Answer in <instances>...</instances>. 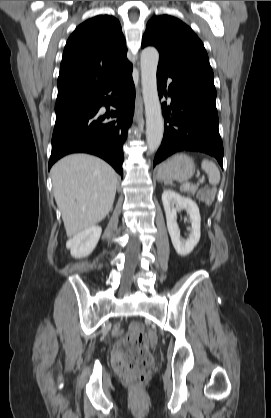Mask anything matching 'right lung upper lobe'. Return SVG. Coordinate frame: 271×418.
<instances>
[{
    "mask_svg": "<svg viewBox=\"0 0 271 418\" xmlns=\"http://www.w3.org/2000/svg\"><path fill=\"white\" fill-rule=\"evenodd\" d=\"M121 25L99 15L79 25L69 37L58 77L56 104L91 98L132 67Z\"/></svg>",
    "mask_w": 271,
    "mask_h": 418,
    "instance_id": "cb5924a9",
    "label": "right lung upper lobe"
}]
</instances>
